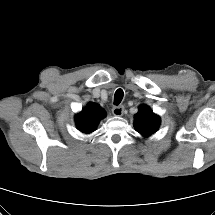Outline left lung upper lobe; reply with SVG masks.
I'll return each instance as SVG.
<instances>
[{
	"instance_id": "obj_1",
	"label": "left lung upper lobe",
	"mask_w": 215,
	"mask_h": 215,
	"mask_svg": "<svg viewBox=\"0 0 215 215\" xmlns=\"http://www.w3.org/2000/svg\"><path fill=\"white\" fill-rule=\"evenodd\" d=\"M134 127L143 137H149L154 134L160 125V117L146 105L139 108L138 113L134 116Z\"/></svg>"
}]
</instances>
